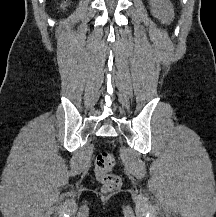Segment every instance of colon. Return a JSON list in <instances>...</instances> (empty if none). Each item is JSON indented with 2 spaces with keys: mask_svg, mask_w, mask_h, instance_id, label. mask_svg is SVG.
<instances>
[{
  "mask_svg": "<svg viewBox=\"0 0 216 217\" xmlns=\"http://www.w3.org/2000/svg\"><path fill=\"white\" fill-rule=\"evenodd\" d=\"M115 166L114 155L109 151L100 152L95 160V175L97 180L102 184L104 192H112L121 185V178L111 173Z\"/></svg>",
  "mask_w": 216,
  "mask_h": 217,
  "instance_id": "colon-1",
  "label": "colon"
}]
</instances>
